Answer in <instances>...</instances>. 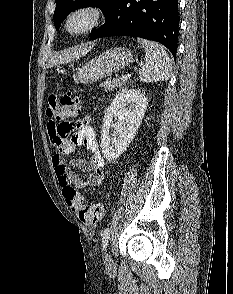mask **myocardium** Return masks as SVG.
Listing matches in <instances>:
<instances>
[{"label":"myocardium","mask_w":233,"mask_h":294,"mask_svg":"<svg viewBox=\"0 0 233 294\" xmlns=\"http://www.w3.org/2000/svg\"><path fill=\"white\" fill-rule=\"evenodd\" d=\"M87 15L89 17V23L85 28H83L80 31H72L70 28V24L72 20L78 16V15ZM104 16L103 10L91 3H84L80 4L76 7H74L66 16L65 21H64V29L65 31L75 37L83 36L85 34H88L92 30H94L102 21Z\"/></svg>","instance_id":"f54148a6"}]
</instances>
